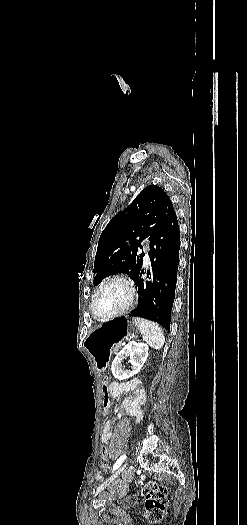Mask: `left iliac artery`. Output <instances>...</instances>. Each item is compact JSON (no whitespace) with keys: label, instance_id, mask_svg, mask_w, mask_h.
Instances as JSON below:
<instances>
[{"label":"left iliac artery","instance_id":"left-iliac-artery-1","mask_svg":"<svg viewBox=\"0 0 247 525\" xmlns=\"http://www.w3.org/2000/svg\"><path fill=\"white\" fill-rule=\"evenodd\" d=\"M125 459H126V455L124 454L116 461V463L113 466L112 472L118 469L121 466V464L124 462Z\"/></svg>","mask_w":247,"mask_h":525}]
</instances>
